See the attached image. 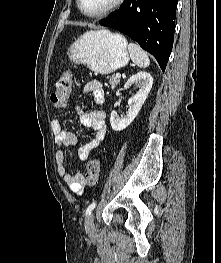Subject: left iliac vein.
<instances>
[{
	"instance_id": "obj_1",
	"label": "left iliac vein",
	"mask_w": 221,
	"mask_h": 263,
	"mask_svg": "<svg viewBox=\"0 0 221 263\" xmlns=\"http://www.w3.org/2000/svg\"><path fill=\"white\" fill-rule=\"evenodd\" d=\"M87 229L90 233H94L96 231V224L93 214L89 215L88 217Z\"/></svg>"
}]
</instances>
